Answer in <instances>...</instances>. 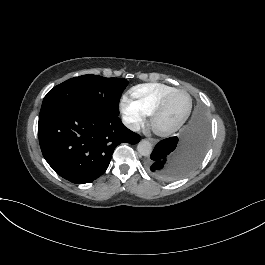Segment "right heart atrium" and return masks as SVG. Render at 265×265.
I'll list each match as a JSON object with an SVG mask.
<instances>
[{
    "label": "right heart atrium",
    "instance_id": "right-heart-atrium-1",
    "mask_svg": "<svg viewBox=\"0 0 265 265\" xmlns=\"http://www.w3.org/2000/svg\"><path fill=\"white\" fill-rule=\"evenodd\" d=\"M122 109L130 116V124L133 128H140L144 125L146 114L135 102L124 97L122 100Z\"/></svg>",
    "mask_w": 265,
    "mask_h": 265
}]
</instances>
